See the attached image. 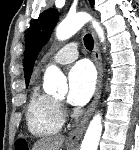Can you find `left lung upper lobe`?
Returning <instances> with one entry per match:
<instances>
[{"label": "left lung upper lobe", "instance_id": "5c2ea615", "mask_svg": "<svg viewBox=\"0 0 139 150\" xmlns=\"http://www.w3.org/2000/svg\"><path fill=\"white\" fill-rule=\"evenodd\" d=\"M90 3L94 5V0H90ZM58 18L59 14L56 9L45 10L40 14L39 18L33 23L27 32L24 56L26 86H28L35 59L39 51L49 40Z\"/></svg>", "mask_w": 139, "mask_h": 150}]
</instances>
